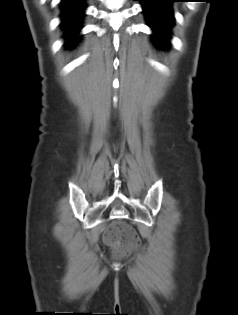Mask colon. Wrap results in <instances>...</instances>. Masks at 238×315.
<instances>
[{"instance_id": "obj_1", "label": "colon", "mask_w": 238, "mask_h": 315, "mask_svg": "<svg viewBox=\"0 0 238 315\" xmlns=\"http://www.w3.org/2000/svg\"><path fill=\"white\" fill-rule=\"evenodd\" d=\"M106 240L120 246L123 250H130L137 245L138 236L127 224L115 222L108 229Z\"/></svg>"}]
</instances>
